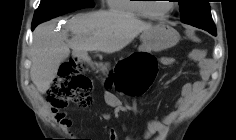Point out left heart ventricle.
I'll return each instance as SVG.
<instances>
[{
    "instance_id": "obj_1",
    "label": "left heart ventricle",
    "mask_w": 236,
    "mask_h": 140,
    "mask_svg": "<svg viewBox=\"0 0 236 140\" xmlns=\"http://www.w3.org/2000/svg\"><path fill=\"white\" fill-rule=\"evenodd\" d=\"M172 2H167L163 0H153L150 4V8L154 13L162 14L166 12L170 7Z\"/></svg>"
}]
</instances>
